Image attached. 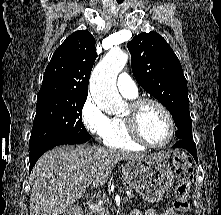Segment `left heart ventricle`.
I'll use <instances>...</instances> for the list:
<instances>
[{
    "label": "left heart ventricle",
    "instance_id": "obj_1",
    "mask_svg": "<svg viewBox=\"0 0 221 215\" xmlns=\"http://www.w3.org/2000/svg\"><path fill=\"white\" fill-rule=\"evenodd\" d=\"M139 127L144 138L152 144L164 142L169 133V123L165 114L150 103L140 109Z\"/></svg>",
    "mask_w": 221,
    "mask_h": 215
}]
</instances>
